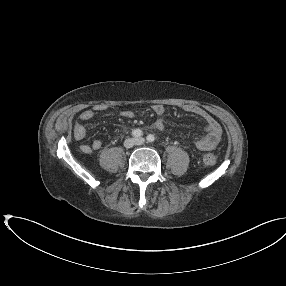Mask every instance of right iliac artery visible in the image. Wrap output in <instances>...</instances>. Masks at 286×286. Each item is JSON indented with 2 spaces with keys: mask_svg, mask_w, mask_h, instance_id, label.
<instances>
[{
  "mask_svg": "<svg viewBox=\"0 0 286 286\" xmlns=\"http://www.w3.org/2000/svg\"><path fill=\"white\" fill-rule=\"evenodd\" d=\"M132 135L134 137L138 138V137H141L143 135V132L140 129H135V130L132 131Z\"/></svg>",
  "mask_w": 286,
  "mask_h": 286,
  "instance_id": "82829eb1",
  "label": "right iliac artery"
}]
</instances>
